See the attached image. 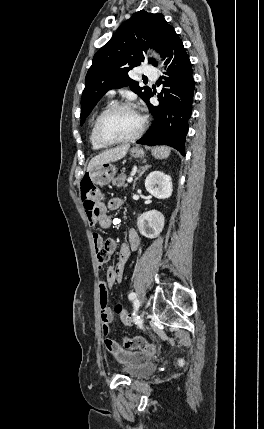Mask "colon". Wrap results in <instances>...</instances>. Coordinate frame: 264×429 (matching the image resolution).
Returning a JSON list of instances; mask_svg holds the SVG:
<instances>
[{
  "instance_id": "1",
  "label": "colon",
  "mask_w": 264,
  "mask_h": 429,
  "mask_svg": "<svg viewBox=\"0 0 264 429\" xmlns=\"http://www.w3.org/2000/svg\"><path fill=\"white\" fill-rule=\"evenodd\" d=\"M81 198L86 213L89 215L97 213L105 199L103 192L89 179L81 183ZM114 310L123 324L127 326L134 324L132 315L122 305L117 304ZM122 345L127 349H143L145 342L141 338H124ZM179 363L182 364L183 360L180 359Z\"/></svg>"
}]
</instances>
